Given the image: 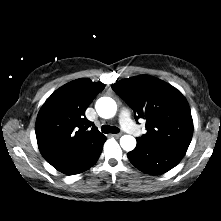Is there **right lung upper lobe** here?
<instances>
[{
  "label": "right lung upper lobe",
  "instance_id": "cb5924a9",
  "mask_svg": "<svg viewBox=\"0 0 221 221\" xmlns=\"http://www.w3.org/2000/svg\"><path fill=\"white\" fill-rule=\"evenodd\" d=\"M105 86L80 78L56 90L41 107L36 138L42 156L58 171L74 175L102 151L106 137L85 117Z\"/></svg>",
  "mask_w": 221,
  "mask_h": 221
}]
</instances>
